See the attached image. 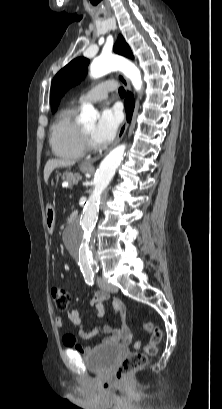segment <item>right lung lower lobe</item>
Here are the masks:
<instances>
[{
    "label": "right lung lower lobe",
    "instance_id": "98d812e1",
    "mask_svg": "<svg viewBox=\"0 0 222 409\" xmlns=\"http://www.w3.org/2000/svg\"><path fill=\"white\" fill-rule=\"evenodd\" d=\"M125 108L127 112V120L130 121L131 115L133 112V108H134V99L131 93H128L125 99Z\"/></svg>",
    "mask_w": 222,
    "mask_h": 409
}]
</instances>
